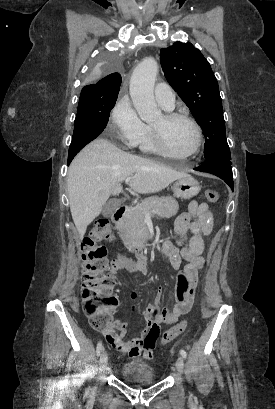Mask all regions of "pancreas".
<instances>
[{
    "label": "pancreas",
    "mask_w": 275,
    "mask_h": 409,
    "mask_svg": "<svg viewBox=\"0 0 275 409\" xmlns=\"http://www.w3.org/2000/svg\"><path fill=\"white\" fill-rule=\"evenodd\" d=\"M178 209V202L173 196H148L136 207H129L121 221L116 223V229L120 231L119 235L125 247H144L149 237L148 229L143 225L146 213L169 219L178 213Z\"/></svg>",
    "instance_id": "obj_1"
}]
</instances>
